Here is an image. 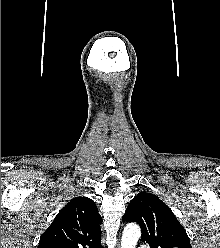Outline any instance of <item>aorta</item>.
<instances>
[{"mask_svg":"<svg viewBox=\"0 0 220 248\" xmlns=\"http://www.w3.org/2000/svg\"><path fill=\"white\" fill-rule=\"evenodd\" d=\"M140 236V227L135 223L128 224L122 234L121 248H136Z\"/></svg>","mask_w":220,"mask_h":248,"instance_id":"1","label":"aorta"}]
</instances>
